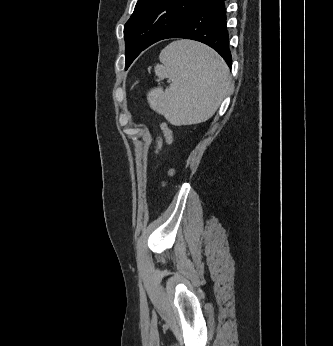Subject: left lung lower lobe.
Here are the masks:
<instances>
[{"label":"left lung lower lobe","mask_w":333,"mask_h":346,"mask_svg":"<svg viewBox=\"0 0 333 346\" xmlns=\"http://www.w3.org/2000/svg\"><path fill=\"white\" fill-rule=\"evenodd\" d=\"M224 0H206L162 39L186 38L207 44L232 67ZM161 39V40H162Z\"/></svg>","instance_id":"0a47b994"}]
</instances>
